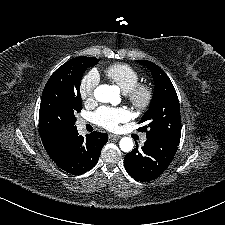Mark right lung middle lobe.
<instances>
[{"label": "right lung middle lobe", "instance_id": "right-lung-middle-lobe-1", "mask_svg": "<svg viewBox=\"0 0 225 225\" xmlns=\"http://www.w3.org/2000/svg\"><path fill=\"white\" fill-rule=\"evenodd\" d=\"M99 59L81 57L72 71L54 72L47 81L39 110V132L64 135L75 132V114L82 109L80 81L87 68Z\"/></svg>", "mask_w": 225, "mask_h": 225}]
</instances>
